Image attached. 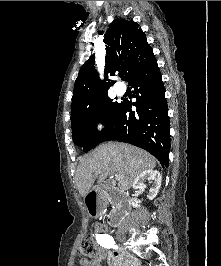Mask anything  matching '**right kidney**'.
<instances>
[{
  "label": "right kidney",
  "mask_w": 221,
  "mask_h": 266,
  "mask_svg": "<svg viewBox=\"0 0 221 266\" xmlns=\"http://www.w3.org/2000/svg\"><path fill=\"white\" fill-rule=\"evenodd\" d=\"M149 181L151 183V188L149 190L148 199L152 200L157 196L159 188L161 186L162 176L159 171L157 170H146L143 171L134 181L133 188L135 190L144 189L146 185L144 184L145 181ZM133 207H139L140 205L135 199H132Z\"/></svg>",
  "instance_id": "ca27d5eb"
}]
</instances>
